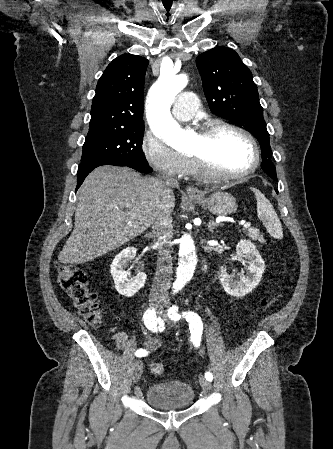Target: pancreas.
Instances as JSON below:
<instances>
[{
    "label": "pancreas",
    "instance_id": "pancreas-1",
    "mask_svg": "<svg viewBox=\"0 0 333 449\" xmlns=\"http://www.w3.org/2000/svg\"><path fill=\"white\" fill-rule=\"evenodd\" d=\"M247 235L255 241L259 240L260 242H264L263 236L260 234L259 230H257V229L249 228L247 230Z\"/></svg>",
    "mask_w": 333,
    "mask_h": 449
}]
</instances>
